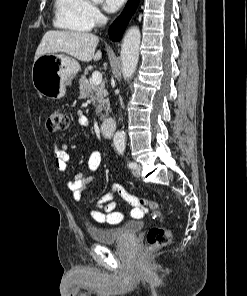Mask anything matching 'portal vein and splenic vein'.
Masks as SVG:
<instances>
[{
    "label": "portal vein and splenic vein",
    "mask_w": 247,
    "mask_h": 296,
    "mask_svg": "<svg viewBox=\"0 0 247 296\" xmlns=\"http://www.w3.org/2000/svg\"><path fill=\"white\" fill-rule=\"evenodd\" d=\"M91 82L93 85H99L102 82V74L99 71H94Z\"/></svg>",
    "instance_id": "18ae733b"
}]
</instances>
